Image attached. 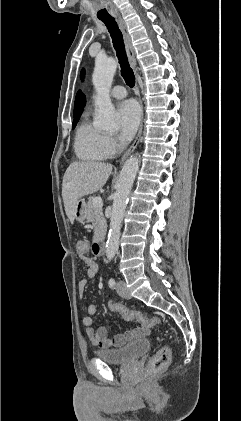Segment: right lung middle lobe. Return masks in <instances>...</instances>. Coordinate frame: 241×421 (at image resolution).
Segmentation results:
<instances>
[{"label":"right lung middle lobe","instance_id":"right-lung-middle-lobe-1","mask_svg":"<svg viewBox=\"0 0 241 421\" xmlns=\"http://www.w3.org/2000/svg\"><path fill=\"white\" fill-rule=\"evenodd\" d=\"M78 120H79V118H74L72 128H75V126H76V124H77Z\"/></svg>","mask_w":241,"mask_h":421}]
</instances>
